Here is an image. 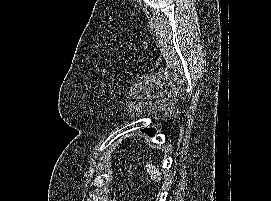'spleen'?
<instances>
[{
	"label": "spleen",
	"mask_w": 271,
	"mask_h": 201,
	"mask_svg": "<svg viewBox=\"0 0 271 201\" xmlns=\"http://www.w3.org/2000/svg\"><path fill=\"white\" fill-rule=\"evenodd\" d=\"M146 168H147V171L153 181L158 182L161 180V178H160L161 173L159 172L158 169H156L155 166L148 164L146 166Z\"/></svg>",
	"instance_id": "1"
}]
</instances>
